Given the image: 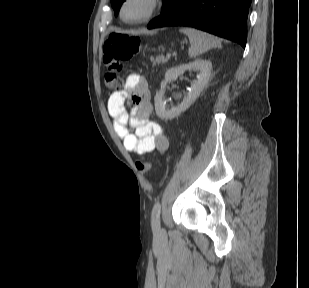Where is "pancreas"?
Instances as JSON below:
<instances>
[{
  "instance_id": "pancreas-1",
  "label": "pancreas",
  "mask_w": 309,
  "mask_h": 288,
  "mask_svg": "<svg viewBox=\"0 0 309 288\" xmlns=\"http://www.w3.org/2000/svg\"><path fill=\"white\" fill-rule=\"evenodd\" d=\"M153 65H160L164 64L168 61L163 55L156 56L155 58L151 59Z\"/></svg>"
}]
</instances>
